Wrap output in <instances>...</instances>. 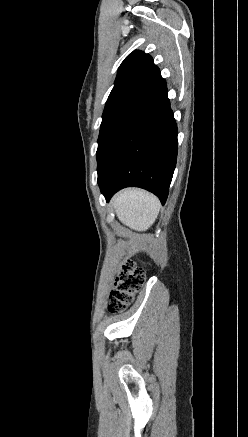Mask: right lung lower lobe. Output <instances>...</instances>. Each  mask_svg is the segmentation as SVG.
I'll list each match as a JSON object with an SVG mask.
<instances>
[{
	"label": "right lung lower lobe",
	"instance_id": "right-lung-lower-lobe-1",
	"mask_svg": "<svg viewBox=\"0 0 248 437\" xmlns=\"http://www.w3.org/2000/svg\"><path fill=\"white\" fill-rule=\"evenodd\" d=\"M177 125L161 75L146 86L98 159V184L108 202L125 187H140L164 205L176 166Z\"/></svg>",
	"mask_w": 248,
	"mask_h": 437
}]
</instances>
